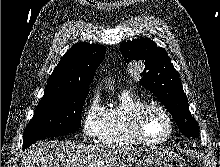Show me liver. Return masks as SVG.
<instances>
[{
  "label": "liver",
  "mask_w": 220,
  "mask_h": 167,
  "mask_svg": "<svg viewBox=\"0 0 220 167\" xmlns=\"http://www.w3.org/2000/svg\"><path fill=\"white\" fill-rule=\"evenodd\" d=\"M129 150L70 141H38L24 154L21 167H113Z\"/></svg>",
  "instance_id": "1"
}]
</instances>
